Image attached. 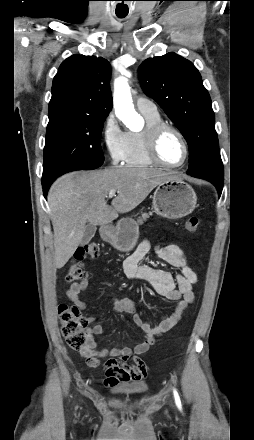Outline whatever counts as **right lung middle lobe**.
Wrapping results in <instances>:
<instances>
[{"label":"right lung middle lobe","instance_id":"dd1d6c3e","mask_svg":"<svg viewBox=\"0 0 254 440\" xmlns=\"http://www.w3.org/2000/svg\"><path fill=\"white\" fill-rule=\"evenodd\" d=\"M105 119L71 110L49 113L42 183L50 184L69 171L96 169L103 164L100 137Z\"/></svg>","mask_w":254,"mask_h":440}]
</instances>
